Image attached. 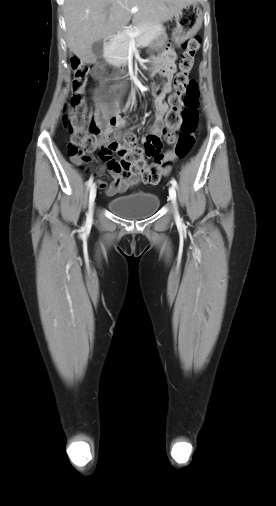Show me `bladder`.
Returning <instances> with one entry per match:
<instances>
[{
    "mask_svg": "<svg viewBox=\"0 0 276 506\" xmlns=\"http://www.w3.org/2000/svg\"><path fill=\"white\" fill-rule=\"evenodd\" d=\"M107 206L113 213L121 217L140 219L152 215L158 210L160 198L151 192L136 191L109 199Z\"/></svg>",
    "mask_w": 276,
    "mask_h": 506,
    "instance_id": "bladder-1",
    "label": "bladder"
}]
</instances>
